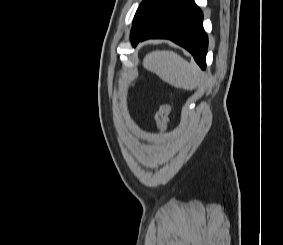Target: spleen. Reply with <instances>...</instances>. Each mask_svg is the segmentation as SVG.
<instances>
[{"label": "spleen", "mask_w": 283, "mask_h": 245, "mask_svg": "<svg viewBox=\"0 0 283 245\" xmlns=\"http://www.w3.org/2000/svg\"><path fill=\"white\" fill-rule=\"evenodd\" d=\"M143 66L176 88L193 90L201 84L198 66L173 51H153L145 56Z\"/></svg>", "instance_id": "1"}]
</instances>
